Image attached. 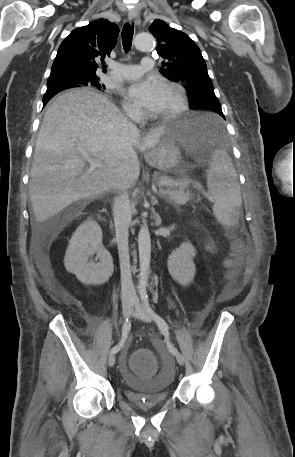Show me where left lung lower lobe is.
<instances>
[{"label": "left lung lower lobe", "mask_w": 295, "mask_h": 457, "mask_svg": "<svg viewBox=\"0 0 295 457\" xmlns=\"http://www.w3.org/2000/svg\"><path fill=\"white\" fill-rule=\"evenodd\" d=\"M196 109H208V110H211V111H214L216 113H218L220 116H222L223 118L224 115L222 113V109H221V104L220 103H212V102H209V101H204V102H201L199 105H197ZM207 130L209 131L210 134H214L215 133V127L212 123H207Z\"/></svg>", "instance_id": "0a47b994"}]
</instances>
